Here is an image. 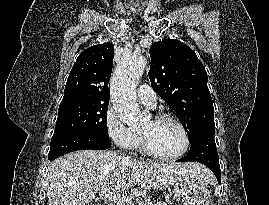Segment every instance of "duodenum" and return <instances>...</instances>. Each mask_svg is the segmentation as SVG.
Returning <instances> with one entry per match:
<instances>
[{
  "label": "duodenum",
  "mask_w": 269,
  "mask_h": 205,
  "mask_svg": "<svg viewBox=\"0 0 269 205\" xmlns=\"http://www.w3.org/2000/svg\"><path fill=\"white\" fill-rule=\"evenodd\" d=\"M101 205H109V203H103V204H101Z\"/></svg>",
  "instance_id": "obj_1"
}]
</instances>
